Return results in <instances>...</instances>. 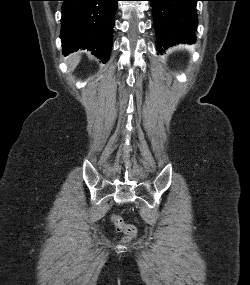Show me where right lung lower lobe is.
<instances>
[{"label":"right lung lower lobe","mask_w":250,"mask_h":285,"mask_svg":"<svg viewBox=\"0 0 250 285\" xmlns=\"http://www.w3.org/2000/svg\"><path fill=\"white\" fill-rule=\"evenodd\" d=\"M63 54L88 49L107 62L118 0H61Z\"/></svg>","instance_id":"98d812e1"}]
</instances>
